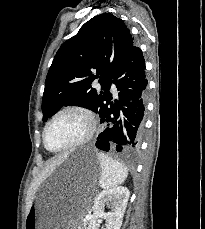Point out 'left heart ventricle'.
Listing matches in <instances>:
<instances>
[{
    "instance_id": "b2bd125f",
    "label": "left heart ventricle",
    "mask_w": 205,
    "mask_h": 229,
    "mask_svg": "<svg viewBox=\"0 0 205 229\" xmlns=\"http://www.w3.org/2000/svg\"><path fill=\"white\" fill-rule=\"evenodd\" d=\"M87 130V122L77 113H67L58 117L47 132V144L58 149L80 139Z\"/></svg>"
}]
</instances>
